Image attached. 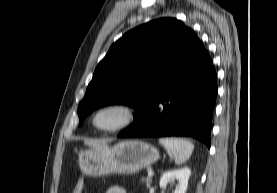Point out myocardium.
<instances>
[{
  "mask_svg": "<svg viewBox=\"0 0 277 193\" xmlns=\"http://www.w3.org/2000/svg\"><path fill=\"white\" fill-rule=\"evenodd\" d=\"M108 110L118 111L121 115L119 121L108 128H101L96 124V117ZM137 118V111L134 106L122 101H111L98 106L91 114L90 121L92 126L102 133H116L130 127Z\"/></svg>",
  "mask_w": 277,
  "mask_h": 193,
  "instance_id": "1",
  "label": "myocardium"
}]
</instances>
